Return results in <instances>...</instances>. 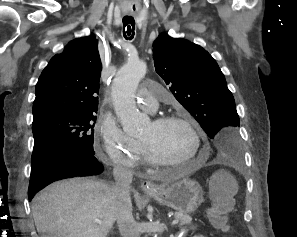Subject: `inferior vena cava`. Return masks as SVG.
Returning <instances> with one entry per match:
<instances>
[{
  "label": "inferior vena cava",
  "mask_w": 297,
  "mask_h": 237,
  "mask_svg": "<svg viewBox=\"0 0 297 237\" xmlns=\"http://www.w3.org/2000/svg\"><path fill=\"white\" fill-rule=\"evenodd\" d=\"M115 185L112 188L113 198L118 211V227L122 237H140L138 224L132 216L130 199V184L132 172L122 167H115L113 171Z\"/></svg>",
  "instance_id": "obj_1"
}]
</instances>
